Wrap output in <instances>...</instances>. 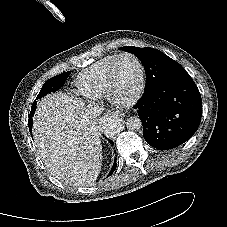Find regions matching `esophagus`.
I'll return each mask as SVG.
<instances>
[{"mask_svg": "<svg viewBox=\"0 0 227 227\" xmlns=\"http://www.w3.org/2000/svg\"><path fill=\"white\" fill-rule=\"evenodd\" d=\"M105 116L106 117L113 116V117L119 118L121 115L119 114V112H108L105 114Z\"/></svg>", "mask_w": 227, "mask_h": 227, "instance_id": "obj_1", "label": "esophagus"}]
</instances>
